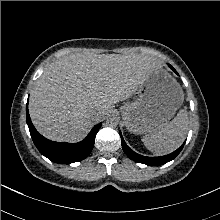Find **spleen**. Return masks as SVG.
Here are the masks:
<instances>
[{"label":"spleen","instance_id":"spleen-1","mask_svg":"<svg viewBox=\"0 0 220 220\" xmlns=\"http://www.w3.org/2000/svg\"><path fill=\"white\" fill-rule=\"evenodd\" d=\"M188 125V112L184 108L163 129L143 136L142 142L154 154L166 155L175 151L183 143L188 132Z\"/></svg>","mask_w":220,"mask_h":220}]
</instances>
